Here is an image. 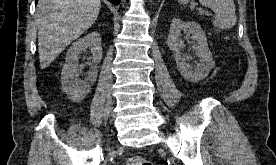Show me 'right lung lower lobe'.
Here are the masks:
<instances>
[{
  "label": "right lung lower lobe",
  "instance_id": "right-lung-lower-lobe-1",
  "mask_svg": "<svg viewBox=\"0 0 276 165\" xmlns=\"http://www.w3.org/2000/svg\"><path fill=\"white\" fill-rule=\"evenodd\" d=\"M37 1L38 0H36V3H37ZM108 1H110L111 3H113L115 5H118L121 2V0H108Z\"/></svg>",
  "mask_w": 276,
  "mask_h": 165
}]
</instances>
